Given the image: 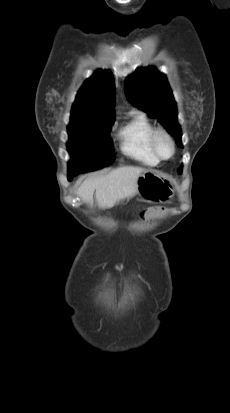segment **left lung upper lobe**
I'll list each match as a JSON object with an SVG mask.
<instances>
[{
    "label": "left lung upper lobe",
    "mask_w": 230,
    "mask_h": 413,
    "mask_svg": "<svg viewBox=\"0 0 230 413\" xmlns=\"http://www.w3.org/2000/svg\"><path fill=\"white\" fill-rule=\"evenodd\" d=\"M125 94L136 107L149 116L158 119L164 128L181 144V129L177 122L176 103L166 76L154 67L141 68L129 76L125 82ZM181 173L182 167L178 170Z\"/></svg>",
    "instance_id": "5c2ea615"
}]
</instances>
